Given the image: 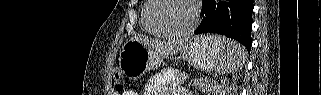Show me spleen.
<instances>
[{
    "label": "spleen",
    "instance_id": "spleen-1",
    "mask_svg": "<svg viewBox=\"0 0 321 95\" xmlns=\"http://www.w3.org/2000/svg\"><path fill=\"white\" fill-rule=\"evenodd\" d=\"M217 41L221 44L223 52L215 65L216 72L219 74L235 73L242 69L246 58L245 48L231 39L218 36Z\"/></svg>",
    "mask_w": 321,
    "mask_h": 95
}]
</instances>
